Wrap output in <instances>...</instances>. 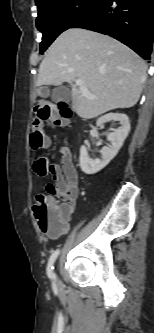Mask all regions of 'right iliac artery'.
<instances>
[{"label":"right iliac artery","mask_w":154,"mask_h":333,"mask_svg":"<svg viewBox=\"0 0 154 333\" xmlns=\"http://www.w3.org/2000/svg\"><path fill=\"white\" fill-rule=\"evenodd\" d=\"M60 250H56L52 253L49 258L48 265H47V275L50 279H56V275L54 273V262L59 255Z\"/></svg>","instance_id":"82829eb1"}]
</instances>
